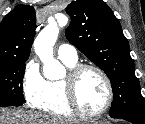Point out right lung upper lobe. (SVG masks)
Returning <instances> with one entry per match:
<instances>
[{
	"mask_svg": "<svg viewBox=\"0 0 145 124\" xmlns=\"http://www.w3.org/2000/svg\"><path fill=\"white\" fill-rule=\"evenodd\" d=\"M35 30L32 6L18 5L7 14L0 23V61L28 59Z\"/></svg>",
	"mask_w": 145,
	"mask_h": 124,
	"instance_id": "right-lung-upper-lobe-1",
	"label": "right lung upper lobe"
}]
</instances>
